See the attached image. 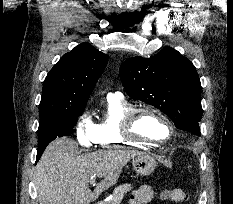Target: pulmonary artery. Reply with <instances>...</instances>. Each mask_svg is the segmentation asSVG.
Segmentation results:
<instances>
[{
    "mask_svg": "<svg viewBox=\"0 0 233 204\" xmlns=\"http://www.w3.org/2000/svg\"><path fill=\"white\" fill-rule=\"evenodd\" d=\"M113 95L112 93H110L108 96H111ZM114 95H118V96H121V94L119 92H116Z\"/></svg>",
    "mask_w": 233,
    "mask_h": 204,
    "instance_id": "e3ab8cb5",
    "label": "pulmonary artery"
}]
</instances>
